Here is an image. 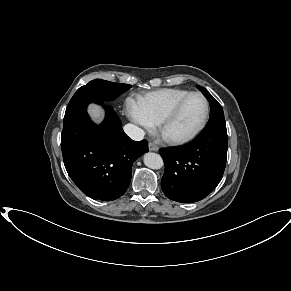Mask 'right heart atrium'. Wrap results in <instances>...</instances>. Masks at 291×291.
I'll use <instances>...</instances> for the list:
<instances>
[{
    "label": "right heart atrium",
    "mask_w": 291,
    "mask_h": 291,
    "mask_svg": "<svg viewBox=\"0 0 291 291\" xmlns=\"http://www.w3.org/2000/svg\"><path fill=\"white\" fill-rule=\"evenodd\" d=\"M126 112L128 117L137 125L151 130L154 127V123L145 115L138 102L129 99L126 102Z\"/></svg>",
    "instance_id": "d8ad5b80"
}]
</instances>
